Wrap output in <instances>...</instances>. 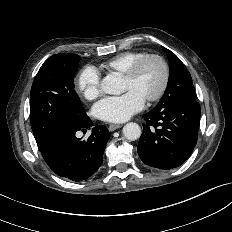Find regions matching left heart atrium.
I'll return each instance as SVG.
<instances>
[{"label": "left heart atrium", "instance_id": "1", "mask_svg": "<svg viewBox=\"0 0 232 232\" xmlns=\"http://www.w3.org/2000/svg\"><path fill=\"white\" fill-rule=\"evenodd\" d=\"M145 99L135 90L120 96L106 97L94 106L96 116L107 122H124L143 109Z\"/></svg>", "mask_w": 232, "mask_h": 232}]
</instances>
